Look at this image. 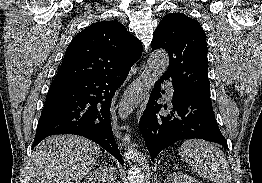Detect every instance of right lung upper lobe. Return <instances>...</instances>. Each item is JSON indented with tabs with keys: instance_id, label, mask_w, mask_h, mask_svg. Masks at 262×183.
<instances>
[{
	"instance_id": "cb5924a9",
	"label": "right lung upper lobe",
	"mask_w": 262,
	"mask_h": 183,
	"mask_svg": "<svg viewBox=\"0 0 262 183\" xmlns=\"http://www.w3.org/2000/svg\"><path fill=\"white\" fill-rule=\"evenodd\" d=\"M142 43L117 21L93 23L69 44L54 81L118 75L139 60Z\"/></svg>"
}]
</instances>
